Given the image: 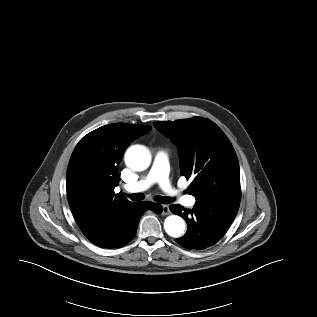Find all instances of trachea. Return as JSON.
<instances>
[{"mask_svg": "<svg viewBox=\"0 0 317 317\" xmlns=\"http://www.w3.org/2000/svg\"><path fill=\"white\" fill-rule=\"evenodd\" d=\"M127 196L133 201H140V200L144 199V195L141 193L127 194ZM154 199H155V201H157L158 203H161V204H169V203L173 202L172 198L166 197V196H155Z\"/></svg>", "mask_w": 317, "mask_h": 317, "instance_id": "obj_1", "label": "trachea"}]
</instances>
